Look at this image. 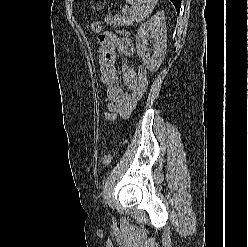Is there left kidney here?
I'll use <instances>...</instances> for the list:
<instances>
[{
    "instance_id": "5707ae66",
    "label": "left kidney",
    "mask_w": 248,
    "mask_h": 247,
    "mask_svg": "<svg viewBox=\"0 0 248 247\" xmlns=\"http://www.w3.org/2000/svg\"><path fill=\"white\" fill-rule=\"evenodd\" d=\"M148 40L154 43L152 55H150L147 49ZM166 41L167 30L164 11L158 12L138 28L136 50L148 70L155 71L160 67L167 49Z\"/></svg>"
}]
</instances>
